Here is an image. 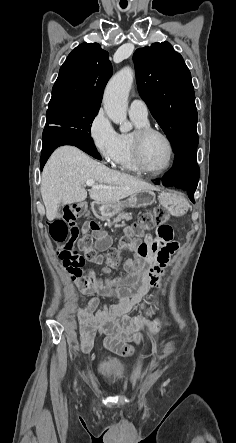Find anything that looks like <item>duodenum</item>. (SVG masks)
Segmentation results:
<instances>
[{
	"instance_id": "obj_1",
	"label": "duodenum",
	"mask_w": 236,
	"mask_h": 443,
	"mask_svg": "<svg viewBox=\"0 0 236 443\" xmlns=\"http://www.w3.org/2000/svg\"><path fill=\"white\" fill-rule=\"evenodd\" d=\"M105 208H106V206H104V205H95L93 207V212L98 217L104 216L105 215V212H104Z\"/></svg>"
}]
</instances>
